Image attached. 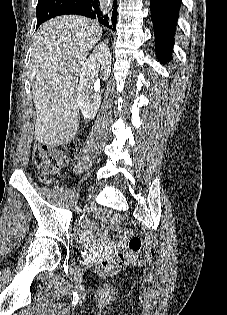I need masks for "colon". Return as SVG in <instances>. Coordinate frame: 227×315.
Instances as JSON below:
<instances>
[{
  "mask_svg": "<svg viewBox=\"0 0 227 315\" xmlns=\"http://www.w3.org/2000/svg\"><path fill=\"white\" fill-rule=\"evenodd\" d=\"M80 149L78 139L59 143L57 145L38 144L34 148L33 162L41 171L43 177L47 174H52L60 170L70 160H72ZM112 222L117 230H122L123 219L120 216L114 215ZM128 249L123 252H118L111 257L104 258L98 264L100 271H109L113 268L122 266L128 261L134 259L142 248V240L140 237L127 232Z\"/></svg>",
  "mask_w": 227,
  "mask_h": 315,
  "instance_id": "5ec220e1",
  "label": "colon"
}]
</instances>
